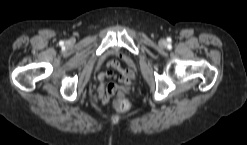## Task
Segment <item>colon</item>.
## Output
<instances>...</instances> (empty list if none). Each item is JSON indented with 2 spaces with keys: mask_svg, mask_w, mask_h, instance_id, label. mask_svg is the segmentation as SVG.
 Listing matches in <instances>:
<instances>
[{
  "mask_svg": "<svg viewBox=\"0 0 247 145\" xmlns=\"http://www.w3.org/2000/svg\"><path fill=\"white\" fill-rule=\"evenodd\" d=\"M114 92L112 87L108 88V93L112 94ZM114 107L116 110L121 111V112H126L129 110L130 108V104L128 102V100L126 99H118L115 103H114Z\"/></svg>",
  "mask_w": 247,
  "mask_h": 145,
  "instance_id": "colon-1",
  "label": "colon"
}]
</instances>
